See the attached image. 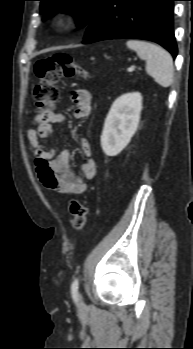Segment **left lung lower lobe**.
<instances>
[{"label": "left lung lower lobe", "mask_w": 193, "mask_h": 349, "mask_svg": "<svg viewBox=\"0 0 193 349\" xmlns=\"http://www.w3.org/2000/svg\"><path fill=\"white\" fill-rule=\"evenodd\" d=\"M176 0H106L88 26L83 43L107 39H145L156 42L175 58L173 2Z\"/></svg>", "instance_id": "0a47b994"}]
</instances>
